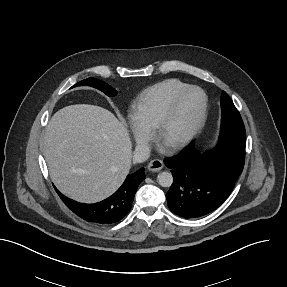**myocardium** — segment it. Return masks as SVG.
I'll use <instances>...</instances> for the list:
<instances>
[{"label":"myocardium","instance_id":"1","mask_svg":"<svg viewBox=\"0 0 287 287\" xmlns=\"http://www.w3.org/2000/svg\"><path fill=\"white\" fill-rule=\"evenodd\" d=\"M190 92H197L200 95V105L197 115L192 124L186 129V131L176 140L166 141L165 134L168 125L176 112L178 103L180 100ZM207 114V96L204 91L197 86H187L186 88L177 92L170 100L165 112L159 120L155 132L157 140L164 144L166 147L172 150L180 149L184 147L189 141L196 135L201 126L203 125Z\"/></svg>","mask_w":287,"mask_h":287}]
</instances>
